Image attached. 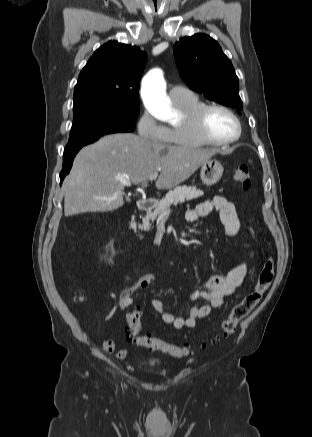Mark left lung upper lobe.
Masks as SVG:
<instances>
[{"label": "left lung upper lobe", "mask_w": 312, "mask_h": 437, "mask_svg": "<svg viewBox=\"0 0 312 437\" xmlns=\"http://www.w3.org/2000/svg\"><path fill=\"white\" fill-rule=\"evenodd\" d=\"M173 52L180 76L192 90L225 106L243 108L234 67L213 38L206 34L182 38Z\"/></svg>", "instance_id": "5c2ea615"}]
</instances>
